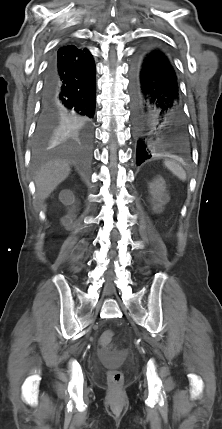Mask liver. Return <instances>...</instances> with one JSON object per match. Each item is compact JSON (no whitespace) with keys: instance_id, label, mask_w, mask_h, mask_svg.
<instances>
[{"instance_id":"1","label":"liver","mask_w":222,"mask_h":429,"mask_svg":"<svg viewBox=\"0 0 222 429\" xmlns=\"http://www.w3.org/2000/svg\"><path fill=\"white\" fill-rule=\"evenodd\" d=\"M70 173V166L65 160H52L43 164L35 175L36 194L44 201L63 182Z\"/></svg>"}]
</instances>
